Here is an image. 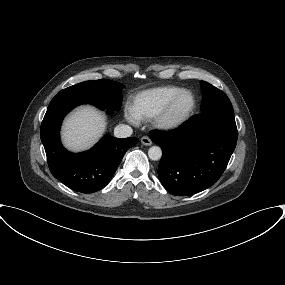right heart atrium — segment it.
I'll use <instances>...</instances> for the list:
<instances>
[{
  "mask_svg": "<svg viewBox=\"0 0 285 285\" xmlns=\"http://www.w3.org/2000/svg\"><path fill=\"white\" fill-rule=\"evenodd\" d=\"M126 119L130 122H136L137 121V117L134 115V113L132 112V110L130 108H127L125 110L124 113Z\"/></svg>",
  "mask_w": 285,
  "mask_h": 285,
  "instance_id": "1",
  "label": "right heart atrium"
}]
</instances>
